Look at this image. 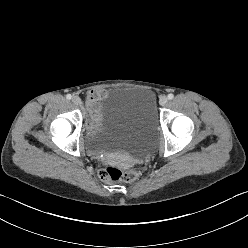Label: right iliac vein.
I'll list each match as a JSON object with an SVG mask.
<instances>
[{
    "label": "right iliac vein",
    "instance_id": "63e3f726",
    "mask_svg": "<svg viewBox=\"0 0 248 248\" xmlns=\"http://www.w3.org/2000/svg\"><path fill=\"white\" fill-rule=\"evenodd\" d=\"M72 102L75 104V105H80L81 104V98L79 96H73L72 97Z\"/></svg>",
    "mask_w": 248,
    "mask_h": 248
}]
</instances>
